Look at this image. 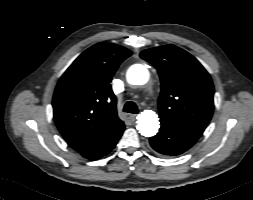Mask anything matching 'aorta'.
<instances>
[{
	"label": "aorta",
	"mask_w": 253,
	"mask_h": 200,
	"mask_svg": "<svg viewBox=\"0 0 253 200\" xmlns=\"http://www.w3.org/2000/svg\"><path fill=\"white\" fill-rule=\"evenodd\" d=\"M148 79L149 72L141 64L132 65L127 72V81L132 85H143ZM159 126V118L153 111L145 110L138 116L137 129L145 137L156 135Z\"/></svg>",
	"instance_id": "762f6f07"
}]
</instances>
